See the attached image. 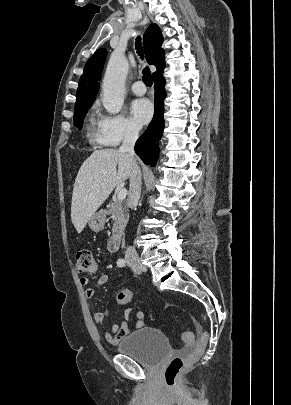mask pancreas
I'll return each instance as SVG.
<instances>
[{"instance_id":"1","label":"pancreas","mask_w":291,"mask_h":405,"mask_svg":"<svg viewBox=\"0 0 291 405\" xmlns=\"http://www.w3.org/2000/svg\"><path fill=\"white\" fill-rule=\"evenodd\" d=\"M108 214H110L113 219L112 233L116 234L122 232L128 221V215L123 201H113L109 206Z\"/></svg>"}]
</instances>
